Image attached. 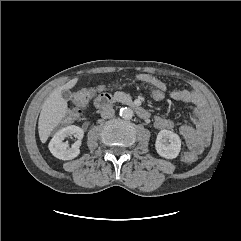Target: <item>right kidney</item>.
<instances>
[{
    "instance_id": "ca27d5eb",
    "label": "right kidney",
    "mask_w": 241,
    "mask_h": 241,
    "mask_svg": "<svg viewBox=\"0 0 241 241\" xmlns=\"http://www.w3.org/2000/svg\"><path fill=\"white\" fill-rule=\"evenodd\" d=\"M73 135L78 140L71 146L64 142L67 136ZM84 132L81 128L75 125H70L59 130L49 143V150L53 156L61 160H71L80 154L81 139Z\"/></svg>"
}]
</instances>
